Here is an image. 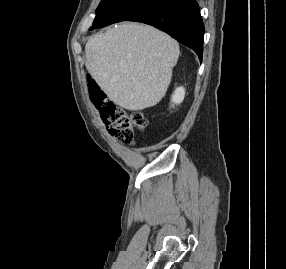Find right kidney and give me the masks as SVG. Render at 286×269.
Segmentation results:
<instances>
[{
  "mask_svg": "<svg viewBox=\"0 0 286 269\" xmlns=\"http://www.w3.org/2000/svg\"><path fill=\"white\" fill-rule=\"evenodd\" d=\"M184 97H185V89L183 87H178L176 88L174 94L172 95V103L180 104L184 100Z\"/></svg>",
  "mask_w": 286,
  "mask_h": 269,
  "instance_id": "1",
  "label": "right kidney"
}]
</instances>
